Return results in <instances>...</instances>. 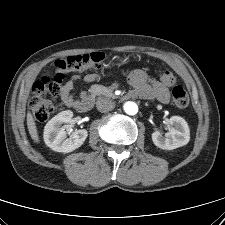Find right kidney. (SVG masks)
I'll return each instance as SVG.
<instances>
[{"label":"right kidney","mask_w":225,"mask_h":225,"mask_svg":"<svg viewBox=\"0 0 225 225\" xmlns=\"http://www.w3.org/2000/svg\"><path fill=\"white\" fill-rule=\"evenodd\" d=\"M72 117V111H62L46 124L44 141L53 151L69 153L79 148L86 140L88 132L85 129L76 130L69 138H66V125H62L70 123Z\"/></svg>","instance_id":"obj_1"}]
</instances>
